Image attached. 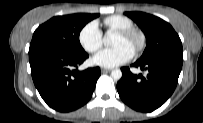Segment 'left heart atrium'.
Masks as SVG:
<instances>
[{
	"instance_id": "left-heart-atrium-1",
	"label": "left heart atrium",
	"mask_w": 203,
	"mask_h": 123,
	"mask_svg": "<svg viewBox=\"0 0 203 123\" xmlns=\"http://www.w3.org/2000/svg\"><path fill=\"white\" fill-rule=\"evenodd\" d=\"M132 57L133 51L119 45L101 50L93 57V62L102 67L112 68L127 63Z\"/></svg>"
}]
</instances>
